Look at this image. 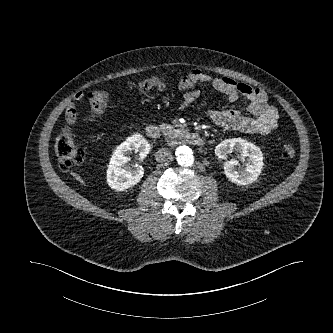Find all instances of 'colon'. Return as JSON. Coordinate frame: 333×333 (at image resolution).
<instances>
[{
  "label": "colon",
  "mask_w": 333,
  "mask_h": 333,
  "mask_svg": "<svg viewBox=\"0 0 333 333\" xmlns=\"http://www.w3.org/2000/svg\"><path fill=\"white\" fill-rule=\"evenodd\" d=\"M166 81L163 77L150 76L138 83L140 89H163ZM106 95L103 92H96L88 95V100L93 115H98L104 110ZM53 151L59 162V167L63 172H69L72 168L80 165L85 160V153L79 149L73 139L69 129H63L56 137ZM282 155L284 158H294L296 149L291 144L283 146Z\"/></svg>",
  "instance_id": "1"
}]
</instances>
